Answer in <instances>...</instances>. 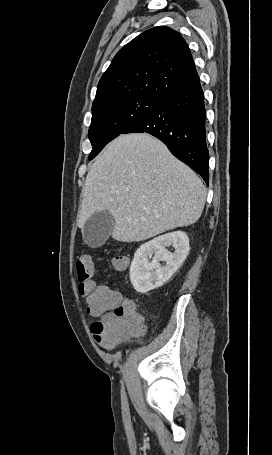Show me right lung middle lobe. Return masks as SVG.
I'll return each instance as SVG.
<instances>
[{"instance_id":"right-lung-middle-lobe-1","label":"right lung middle lobe","mask_w":272,"mask_h":455,"mask_svg":"<svg viewBox=\"0 0 272 455\" xmlns=\"http://www.w3.org/2000/svg\"><path fill=\"white\" fill-rule=\"evenodd\" d=\"M164 99L151 96L129 97L92 108L89 140L93 159L111 140L157 109Z\"/></svg>"}]
</instances>
